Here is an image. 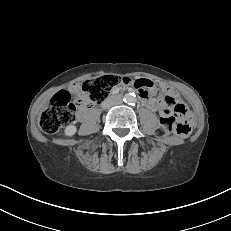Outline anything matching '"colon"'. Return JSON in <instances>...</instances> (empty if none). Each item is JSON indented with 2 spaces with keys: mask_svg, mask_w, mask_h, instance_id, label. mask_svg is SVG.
<instances>
[{
  "mask_svg": "<svg viewBox=\"0 0 231 231\" xmlns=\"http://www.w3.org/2000/svg\"><path fill=\"white\" fill-rule=\"evenodd\" d=\"M124 84L136 89L141 96L147 97L151 93L152 82L148 79H133L108 74L86 80L81 84L83 97L72 99L66 91L57 92L51 99L49 106L39 118V126L45 133H54L62 127L70 125L79 110L90 108L100 103L109 95L110 91ZM168 105L174 106L173 113L163 114L157 128V135L164 137L171 133L184 137L191 132L188 121V111L185 105L177 103L170 96H165Z\"/></svg>",
  "mask_w": 231,
  "mask_h": 231,
  "instance_id": "obj_1",
  "label": "colon"
}]
</instances>
